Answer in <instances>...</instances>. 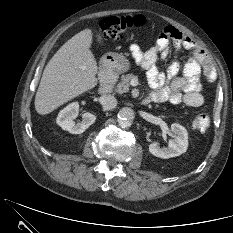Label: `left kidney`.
Listing matches in <instances>:
<instances>
[{
  "label": "left kidney",
  "mask_w": 233,
  "mask_h": 233,
  "mask_svg": "<svg viewBox=\"0 0 233 233\" xmlns=\"http://www.w3.org/2000/svg\"><path fill=\"white\" fill-rule=\"evenodd\" d=\"M171 130L174 133V139L170 140L167 148H161L157 143L149 145V151L152 155L163 159L179 156L187 151L188 132L180 124L173 123Z\"/></svg>",
  "instance_id": "obj_1"
}]
</instances>
